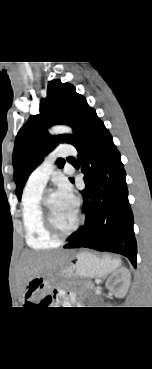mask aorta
Returning <instances> with one entry per match:
<instances>
[{
  "mask_svg": "<svg viewBox=\"0 0 152 369\" xmlns=\"http://www.w3.org/2000/svg\"><path fill=\"white\" fill-rule=\"evenodd\" d=\"M49 132L52 135H58V134L72 133V129L65 125H56V126H53L49 130Z\"/></svg>",
  "mask_w": 152,
  "mask_h": 369,
  "instance_id": "1",
  "label": "aorta"
}]
</instances>
